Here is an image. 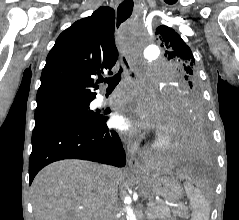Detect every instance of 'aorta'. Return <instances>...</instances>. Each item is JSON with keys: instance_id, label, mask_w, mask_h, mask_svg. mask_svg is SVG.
<instances>
[{"instance_id": "obj_1", "label": "aorta", "mask_w": 239, "mask_h": 220, "mask_svg": "<svg viewBox=\"0 0 239 220\" xmlns=\"http://www.w3.org/2000/svg\"><path fill=\"white\" fill-rule=\"evenodd\" d=\"M124 40H145V39L143 38V33H126L124 36ZM125 46H142L143 52H145L144 58L148 59V61H155V58L159 54V50L154 43L153 45H125ZM124 203H125L124 209L127 213L126 219L137 220L136 215L130 206L131 198L126 196L124 198Z\"/></svg>"}]
</instances>
